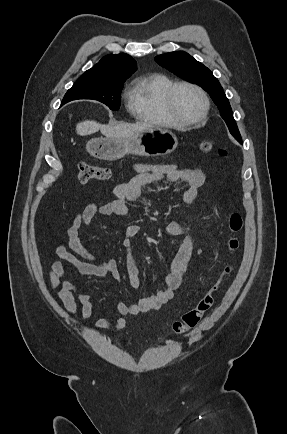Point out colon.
<instances>
[{"instance_id": "1", "label": "colon", "mask_w": 287, "mask_h": 434, "mask_svg": "<svg viewBox=\"0 0 287 434\" xmlns=\"http://www.w3.org/2000/svg\"><path fill=\"white\" fill-rule=\"evenodd\" d=\"M199 150L202 153H210L214 150L212 141H202L199 145ZM112 176V170L109 167L101 165H91L88 163H80L78 166V180L81 183H87L90 180L107 181ZM243 216L239 210H234L229 215V230L228 248L231 253H236L241 248L240 234L243 230ZM234 269L233 263L228 264L220 280L212 287L211 291L200 299L197 306L188 311L180 321L173 324V330L177 335H186L190 330L196 327L204 315L212 308L215 298L214 294L219 290L223 281L229 277Z\"/></svg>"}]
</instances>
